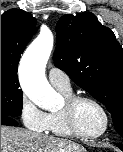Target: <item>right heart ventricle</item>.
I'll use <instances>...</instances> for the list:
<instances>
[{
    "label": "right heart ventricle",
    "instance_id": "e07e8e85",
    "mask_svg": "<svg viewBox=\"0 0 123 152\" xmlns=\"http://www.w3.org/2000/svg\"><path fill=\"white\" fill-rule=\"evenodd\" d=\"M65 98L70 97L73 95L72 90H62L58 89ZM47 133L58 136V137H65V138H73L75 137L73 133L69 130L65 118L61 110L53 111L48 114V127L46 130Z\"/></svg>",
    "mask_w": 123,
    "mask_h": 152
}]
</instances>
